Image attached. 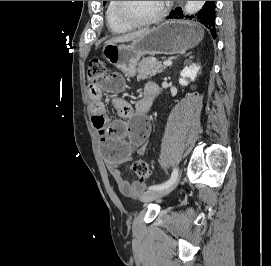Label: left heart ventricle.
Masks as SVG:
<instances>
[{
	"label": "left heart ventricle",
	"mask_w": 271,
	"mask_h": 266,
	"mask_svg": "<svg viewBox=\"0 0 271 266\" xmlns=\"http://www.w3.org/2000/svg\"><path fill=\"white\" fill-rule=\"evenodd\" d=\"M161 8V1H124L125 12L138 20L154 16Z\"/></svg>",
	"instance_id": "obj_1"
}]
</instances>
